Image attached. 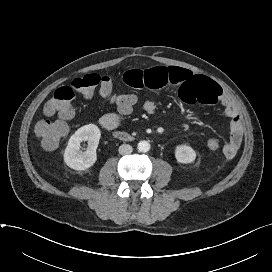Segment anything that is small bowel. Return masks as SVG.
I'll use <instances>...</instances> for the list:
<instances>
[{"instance_id": "obj_1", "label": "small bowel", "mask_w": 272, "mask_h": 272, "mask_svg": "<svg viewBox=\"0 0 272 272\" xmlns=\"http://www.w3.org/2000/svg\"><path fill=\"white\" fill-rule=\"evenodd\" d=\"M123 80L127 86L134 89L157 90L169 86L176 87L179 98L187 104L219 103L230 120V137L223 145L222 152L227 159H233L238 153L244 131L242 118L231 99L214 81L195 75L187 69L172 66L132 69L124 74ZM142 109L145 114L151 115L156 106L152 101H145ZM122 115L126 114L119 110L105 113L100 117L99 124L106 130H114L119 126Z\"/></svg>"}]
</instances>
